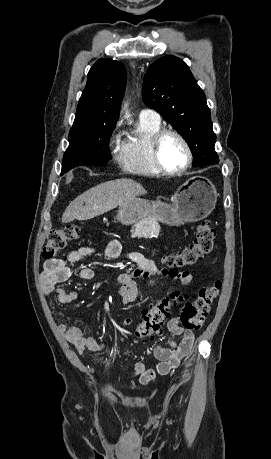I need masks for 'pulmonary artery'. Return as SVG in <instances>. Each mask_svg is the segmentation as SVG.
Instances as JSON below:
<instances>
[{"mask_svg":"<svg viewBox=\"0 0 271 459\" xmlns=\"http://www.w3.org/2000/svg\"><path fill=\"white\" fill-rule=\"evenodd\" d=\"M140 118L147 119L151 121H160V116L153 110L144 109L140 112Z\"/></svg>","mask_w":271,"mask_h":459,"instance_id":"obj_1","label":"pulmonary artery"}]
</instances>
